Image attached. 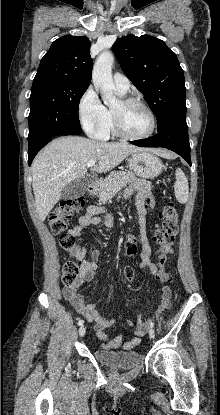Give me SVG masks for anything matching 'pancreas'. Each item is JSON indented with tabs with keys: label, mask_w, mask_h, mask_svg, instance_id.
I'll return each instance as SVG.
<instances>
[{
	"label": "pancreas",
	"mask_w": 220,
	"mask_h": 415,
	"mask_svg": "<svg viewBox=\"0 0 220 415\" xmlns=\"http://www.w3.org/2000/svg\"><path fill=\"white\" fill-rule=\"evenodd\" d=\"M134 179L130 172L115 171L111 172L104 180L100 181L98 187L99 199L105 203L113 198L121 188L125 187Z\"/></svg>",
	"instance_id": "cf45deb5"
}]
</instances>
